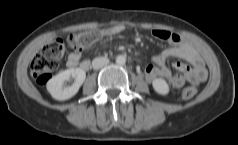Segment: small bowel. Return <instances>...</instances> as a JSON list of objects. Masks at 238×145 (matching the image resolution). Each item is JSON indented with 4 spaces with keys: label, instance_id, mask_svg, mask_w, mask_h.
Returning <instances> with one entry per match:
<instances>
[{
    "label": "small bowel",
    "instance_id": "c3829d8e",
    "mask_svg": "<svg viewBox=\"0 0 238 145\" xmlns=\"http://www.w3.org/2000/svg\"><path fill=\"white\" fill-rule=\"evenodd\" d=\"M124 29L123 25H116L104 31V35L115 36L123 32ZM153 35L158 39L167 41L171 47L155 55L153 57V64L145 68V76L149 82L162 78L172 88L177 89L181 88L186 81L192 85H198L206 79L207 71L201 56L183 37L162 29H155ZM170 58L184 59L193 66V69L190 70L185 63L176 61L174 62V67L183 74L175 75L166 65ZM67 66L70 68L80 67V69L87 71L91 63L87 59L81 61V52L73 51L67 57Z\"/></svg>",
    "mask_w": 238,
    "mask_h": 145
}]
</instances>
